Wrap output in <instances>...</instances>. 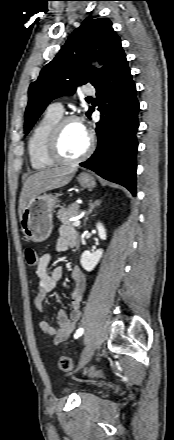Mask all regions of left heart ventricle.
Returning a JSON list of instances; mask_svg holds the SVG:
<instances>
[{
    "mask_svg": "<svg viewBox=\"0 0 174 440\" xmlns=\"http://www.w3.org/2000/svg\"><path fill=\"white\" fill-rule=\"evenodd\" d=\"M88 136L78 122H70L63 128L60 150L66 158L79 156L87 147Z\"/></svg>",
    "mask_w": 174,
    "mask_h": 440,
    "instance_id": "left-heart-ventricle-1",
    "label": "left heart ventricle"
}]
</instances>
